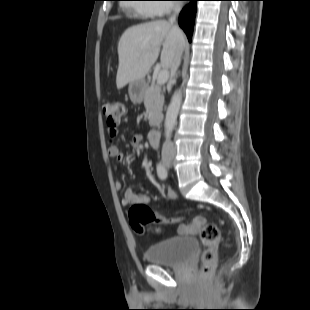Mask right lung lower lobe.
I'll return each instance as SVG.
<instances>
[{"label":"right lung lower lobe","mask_w":310,"mask_h":310,"mask_svg":"<svg viewBox=\"0 0 310 310\" xmlns=\"http://www.w3.org/2000/svg\"><path fill=\"white\" fill-rule=\"evenodd\" d=\"M188 1H190V3L183 8V10L179 15V26L184 30V32L188 37V40L191 42L194 20L197 10L196 3L198 0H188Z\"/></svg>","instance_id":"1"}]
</instances>
